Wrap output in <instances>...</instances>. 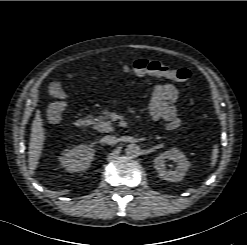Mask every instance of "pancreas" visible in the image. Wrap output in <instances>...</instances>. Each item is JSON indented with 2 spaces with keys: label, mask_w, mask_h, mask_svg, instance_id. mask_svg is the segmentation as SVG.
I'll use <instances>...</instances> for the list:
<instances>
[{
  "label": "pancreas",
  "mask_w": 247,
  "mask_h": 245,
  "mask_svg": "<svg viewBox=\"0 0 247 245\" xmlns=\"http://www.w3.org/2000/svg\"><path fill=\"white\" fill-rule=\"evenodd\" d=\"M110 111L105 109L101 112V115L93 119V127L99 132H111L113 130L112 122L110 119ZM137 118H140L137 116Z\"/></svg>",
  "instance_id": "1"
}]
</instances>
